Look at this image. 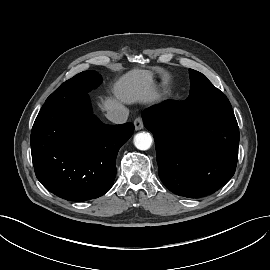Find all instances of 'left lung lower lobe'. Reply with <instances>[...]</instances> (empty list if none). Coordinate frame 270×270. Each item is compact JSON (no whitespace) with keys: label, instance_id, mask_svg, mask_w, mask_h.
I'll use <instances>...</instances> for the list:
<instances>
[{"label":"left lung lower lobe","instance_id":"left-lung-lower-lobe-1","mask_svg":"<svg viewBox=\"0 0 270 270\" xmlns=\"http://www.w3.org/2000/svg\"><path fill=\"white\" fill-rule=\"evenodd\" d=\"M191 92L182 102L168 100L145 110L143 122L154 135L159 177L173 193L210 195L234 175L239 128L232 109L204 111Z\"/></svg>","mask_w":270,"mask_h":270}]
</instances>
